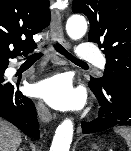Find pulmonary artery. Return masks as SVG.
Returning <instances> with one entry per match:
<instances>
[{
    "mask_svg": "<svg viewBox=\"0 0 131 151\" xmlns=\"http://www.w3.org/2000/svg\"><path fill=\"white\" fill-rule=\"evenodd\" d=\"M78 58L82 61L93 63L96 67L104 69L105 59L90 43H82L77 50Z\"/></svg>",
    "mask_w": 131,
    "mask_h": 151,
    "instance_id": "pulmonary-artery-1",
    "label": "pulmonary artery"
}]
</instances>
